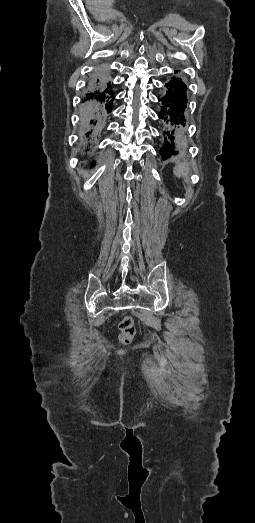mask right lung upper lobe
I'll use <instances>...</instances> for the list:
<instances>
[{
  "label": "right lung upper lobe",
  "instance_id": "cb5924a9",
  "mask_svg": "<svg viewBox=\"0 0 255 523\" xmlns=\"http://www.w3.org/2000/svg\"><path fill=\"white\" fill-rule=\"evenodd\" d=\"M89 88L90 92L85 95V99L82 101L83 121L86 127L84 136L88 146L101 132L109 114L113 110L115 101L113 84L103 71H98L91 79ZM93 99L98 101L96 106L91 104ZM92 164L94 165L95 163L93 162Z\"/></svg>",
  "mask_w": 255,
  "mask_h": 523
}]
</instances>
